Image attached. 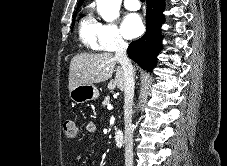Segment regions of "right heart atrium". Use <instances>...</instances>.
<instances>
[{
  "instance_id": "1",
  "label": "right heart atrium",
  "mask_w": 227,
  "mask_h": 166,
  "mask_svg": "<svg viewBox=\"0 0 227 166\" xmlns=\"http://www.w3.org/2000/svg\"><path fill=\"white\" fill-rule=\"evenodd\" d=\"M99 38L102 49L105 51H112L123 47L126 43L114 22L100 24Z\"/></svg>"
}]
</instances>
